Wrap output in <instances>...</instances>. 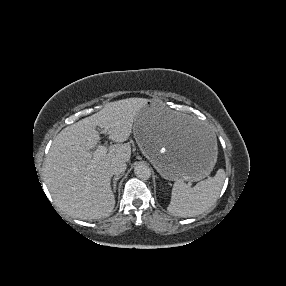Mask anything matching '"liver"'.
Masks as SVG:
<instances>
[{
  "instance_id": "6515ba94",
  "label": "liver",
  "mask_w": 286,
  "mask_h": 286,
  "mask_svg": "<svg viewBox=\"0 0 286 286\" xmlns=\"http://www.w3.org/2000/svg\"><path fill=\"white\" fill-rule=\"evenodd\" d=\"M147 99L128 98L107 103L98 113L64 128L53 140L45 162V182L55 204L68 215L82 220L108 216L114 209L110 164L131 158L127 141L136 115ZM178 127L186 133L202 134L186 114H173ZM108 128L109 138L117 144L93 162L91 149L100 140L96 127Z\"/></svg>"
}]
</instances>
